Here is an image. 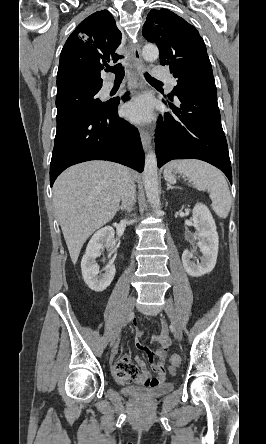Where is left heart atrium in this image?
Wrapping results in <instances>:
<instances>
[{
	"instance_id": "obj_1",
	"label": "left heart atrium",
	"mask_w": 266,
	"mask_h": 444,
	"mask_svg": "<svg viewBox=\"0 0 266 444\" xmlns=\"http://www.w3.org/2000/svg\"><path fill=\"white\" fill-rule=\"evenodd\" d=\"M124 115L136 123L149 122L152 119L151 101L146 96H139L124 105Z\"/></svg>"
}]
</instances>
